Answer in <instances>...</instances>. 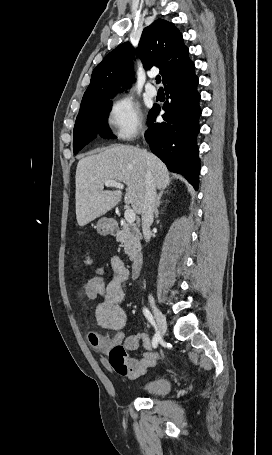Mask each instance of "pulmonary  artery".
Listing matches in <instances>:
<instances>
[{"label":"pulmonary artery","mask_w":272,"mask_h":455,"mask_svg":"<svg viewBox=\"0 0 272 455\" xmlns=\"http://www.w3.org/2000/svg\"><path fill=\"white\" fill-rule=\"evenodd\" d=\"M146 94L150 97H155L157 95V89L150 83L145 87Z\"/></svg>","instance_id":"1"}]
</instances>
